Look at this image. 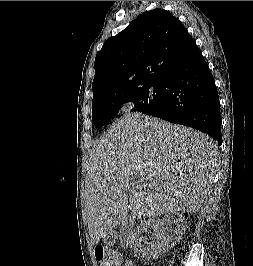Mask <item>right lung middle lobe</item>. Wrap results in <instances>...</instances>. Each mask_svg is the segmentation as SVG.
Listing matches in <instances>:
<instances>
[{
	"label": "right lung middle lobe",
	"instance_id": "obj_1",
	"mask_svg": "<svg viewBox=\"0 0 253 266\" xmlns=\"http://www.w3.org/2000/svg\"><path fill=\"white\" fill-rule=\"evenodd\" d=\"M163 80L146 83L135 89L124 91L104 98L92 104V120L96 129L103 125L119 112L126 102H133V111L148 114L157 109L163 100Z\"/></svg>",
	"mask_w": 253,
	"mask_h": 266
}]
</instances>
